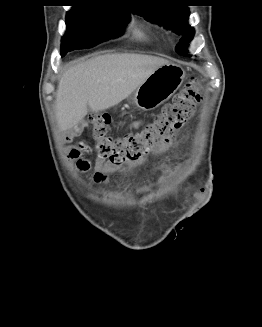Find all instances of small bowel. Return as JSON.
Masks as SVG:
<instances>
[{"instance_id":"c3829d8e","label":"small bowel","mask_w":262,"mask_h":327,"mask_svg":"<svg viewBox=\"0 0 262 327\" xmlns=\"http://www.w3.org/2000/svg\"><path fill=\"white\" fill-rule=\"evenodd\" d=\"M144 121L142 119L136 120L129 124V129H136L143 125ZM82 124L75 125L65 136L66 141H71L73 136L79 134L82 130ZM174 140L170 138L158 145L152 147L149 152L144 155L142 158L128 162L125 165H113L107 160L97 157L94 163V173L89 175V178L98 184L105 183L108 179V175L112 173H124L131 169L141 167L145 165L148 160L152 157H158L165 152H167L173 146ZM83 149L81 148V144L77 147H69L66 152L67 158L75 162V166L77 170L81 173H87L91 168V162L82 157ZM173 174V171H168L164 180H168ZM197 195H206V188H197Z\"/></svg>"}]
</instances>
